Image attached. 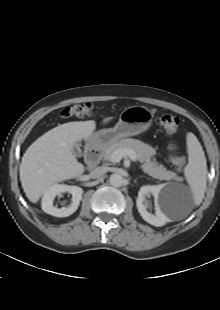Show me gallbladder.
Instances as JSON below:
<instances>
[{
    "instance_id": "obj_1",
    "label": "gallbladder",
    "mask_w": 220,
    "mask_h": 310,
    "mask_svg": "<svg viewBox=\"0 0 220 310\" xmlns=\"http://www.w3.org/2000/svg\"><path fill=\"white\" fill-rule=\"evenodd\" d=\"M72 152H73V154H74L76 157H81V155H82V151H81L80 147H79L77 144H75V145L73 146Z\"/></svg>"
}]
</instances>
